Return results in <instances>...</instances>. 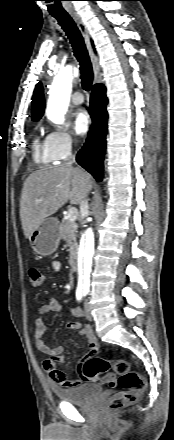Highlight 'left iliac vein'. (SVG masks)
Segmentation results:
<instances>
[{
  "label": "left iliac vein",
  "mask_w": 174,
  "mask_h": 440,
  "mask_svg": "<svg viewBox=\"0 0 174 440\" xmlns=\"http://www.w3.org/2000/svg\"><path fill=\"white\" fill-rule=\"evenodd\" d=\"M85 317L88 321H93V316L90 312L87 302H85Z\"/></svg>",
  "instance_id": "left-iliac-vein-1"
}]
</instances>
